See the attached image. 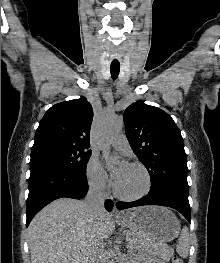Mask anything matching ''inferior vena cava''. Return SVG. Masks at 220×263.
I'll list each match as a JSON object with an SVG mask.
<instances>
[{
	"mask_svg": "<svg viewBox=\"0 0 220 263\" xmlns=\"http://www.w3.org/2000/svg\"><path fill=\"white\" fill-rule=\"evenodd\" d=\"M105 196L103 193V186L99 182L91 183L88 194L85 198V206L90 216H98L105 211L104 208ZM104 242L97 244L95 251L92 254L90 263H105L104 262Z\"/></svg>",
	"mask_w": 220,
	"mask_h": 263,
	"instance_id": "inferior-vena-cava-1",
	"label": "inferior vena cava"
}]
</instances>
